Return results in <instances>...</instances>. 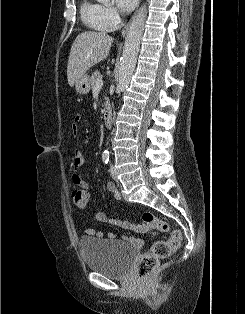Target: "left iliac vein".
<instances>
[{
	"label": "left iliac vein",
	"mask_w": 245,
	"mask_h": 314,
	"mask_svg": "<svg viewBox=\"0 0 245 314\" xmlns=\"http://www.w3.org/2000/svg\"><path fill=\"white\" fill-rule=\"evenodd\" d=\"M110 174L114 180H117V173L113 164L110 166Z\"/></svg>",
	"instance_id": "4c4485c4"
}]
</instances>
